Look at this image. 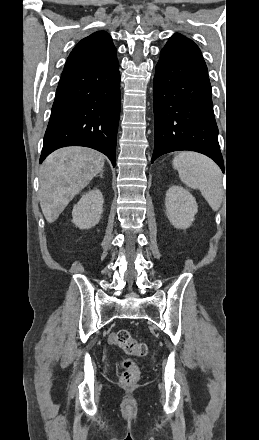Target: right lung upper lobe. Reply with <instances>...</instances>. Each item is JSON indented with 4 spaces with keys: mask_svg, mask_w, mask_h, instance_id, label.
<instances>
[{
    "mask_svg": "<svg viewBox=\"0 0 259 440\" xmlns=\"http://www.w3.org/2000/svg\"><path fill=\"white\" fill-rule=\"evenodd\" d=\"M116 48L110 35L98 31L82 39L71 51L64 71L96 66L116 56Z\"/></svg>",
    "mask_w": 259,
    "mask_h": 440,
    "instance_id": "obj_1",
    "label": "right lung upper lobe"
}]
</instances>
